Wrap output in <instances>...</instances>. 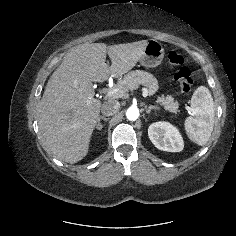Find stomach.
Returning <instances> with one entry per match:
<instances>
[{
    "label": "stomach",
    "instance_id": "1",
    "mask_svg": "<svg viewBox=\"0 0 236 236\" xmlns=\"http://www.w3.org/2000/svg\"><path fill=\"white\" fill-rule=\"evenodd\" d=\"M164 57V48L160 42L155 39L150 40L140 58L141 65L146 68H153L160 65Z\"/></svg>",
    "mask_w": 236,
    "mask_h": 236
}]
</instances>
